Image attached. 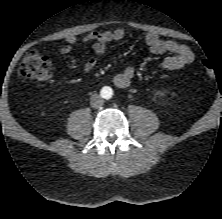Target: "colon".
<instances>
[{
	"instance_id": "obj_1",
	"label": "colon",
	"mask_w": 222,
	"mask_h": 219,
	"mask_svg": "<svg viewBox=\"0 0 222 219\" xmlns=\"http://www.w3.org/2000/svg\"><path fill=\"white\" fill-rule=\"evenodd\" d=\"M202 67L208 78L215 76V69L209 61H203ZM50 74L49 58L36 50L28 52L18 67V76L23 80H45L50 77Z\"/></svg>"
}]
</instances>
